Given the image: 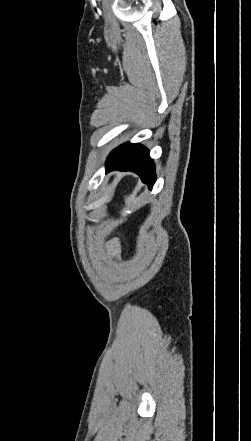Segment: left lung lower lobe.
I'll list each match as a JSON object with an SVG mask.
<instances>
[{"label":"left lung lower lobe","instance_id":"left-lung-lower-lobe-1","mask_svg":"<svg viewBox=\"0 0 251 441\" xmlns=\"http://www.w3.org/2000/svg\"><path fill=\"white\" fill-rule=\"evenodd\" d=\"M106 170L133 171L151 189L155 183V166L149 150L140 144L125 143L113 150L107 161Z\"/></svg>","mask_w":251,"mask_h":441}]
</instances>
